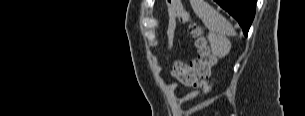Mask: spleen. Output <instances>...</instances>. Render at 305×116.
I'll return each instance as SVG.
<instances>
[{
	"label": "spleen",
	"instance_id": "3e777b00",
	"mask_svg": "<svg viewBox=\"0 0 305 116\" xmlns=\"http://www.w3.org/2000/svg\"><path fill=\"white\" fill-rule=\"evenodd\" d=\"M191 5L195 14L202 20L209 31L217 34L218 38L213 40L212 45H223L224 51L227 52L230 48V43L226 35H236L231 23L203 0H192Z\"/></svg>",
	"mask_w": 305,
	"mask_h": 116
}]
</instances>
